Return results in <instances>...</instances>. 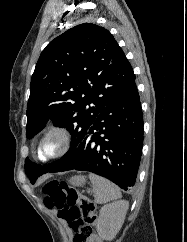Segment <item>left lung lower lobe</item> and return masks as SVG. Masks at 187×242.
Returning a JSON list of instances; mask_svg holds the SVG:
<instances>
[{"label": "left lung lower lobe", "mask_w": 187, "mask_h": 242, "mask_svg": "<svg viewBox=\"0 0 187 242\" xmlns=\"http://www.w3.org/2000/svg\"><path fill=\"white\" fill-rule=\"evenodd\" d=\"M142 145L143 115L134 79L101 110L77 148L49 172L89 171L126 191L135 185Z\"/></svg>", "instance_id": "left-lung-lower-lobe-1"}]
</instances>
